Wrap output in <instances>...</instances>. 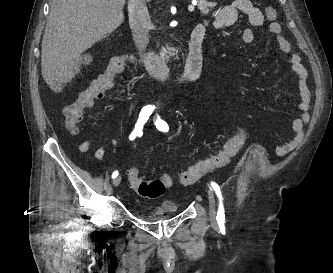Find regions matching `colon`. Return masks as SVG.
I'll list each match as a JSON object with an SVG mask.
<instances>
[{
  "label": "colon",
  "instance_id": "1",
  "mask_svg": "<svg viewBox=\"0 0 333 273\" xmlns=\"http://www.w3.org/2000/svg\"><path fill=\"white\" fill-rule=\"evenodd\" d=\"M265 16L269 21H273L277 16V12L273 7H267L265 8ZM129 61L130 58L124 56L113 58L106 71L94 79L86 89L81 91L74 102L65 107V127L70 133L75 134L78 131L84 110L92 107L97 100L101 99L113 87L116 76L124 71ZM246 136V130L239 129L227 139L218 153L200 160L188 170L180 173V184L189 186L207 172L228 164L244 145ZM127 179L131 189L146 198L160 197L173 183L169 174H164L156 180H146L136 167H131L127 170Z\"/></svg>",
  "mask_w": 333,
  "mask_h": 273
}]
</instances>
